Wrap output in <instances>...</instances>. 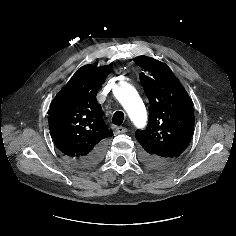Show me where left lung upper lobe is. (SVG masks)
<instances>
[{"instance_id": "obj_1", "label": "left lung upper lobe", "mask_w": 236, "mask_h": 236, "mask_svg": "<svg viewBox=\"0 0 236 236\" xmlns=\"http://www.w3.org/2000/svg\"><path fill=\"white\" fill-rule=\"evenodd\" d=\"M134 61L144 70L139 78L150 102L147 127L136 131L141 158L154 169H165L190 142L194 129L192 102L166 64L147 56Z\"/></svg>"}]
</instances>
